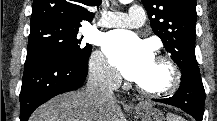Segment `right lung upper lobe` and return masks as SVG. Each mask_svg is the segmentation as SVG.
<instances>
[{
	"instance_id": "1",
	"label": "right lung upper lobe",
	"mask_w": 217,
	"mask_h": 121,
	"mask_svg": "<svg viewBox=\"0 0 217 121\" xmlns=\"http://www.w3.org/2000/svg\"><path fill=\"white\" fill-rule=\"evenodd\" d=\"M101 0H34L31 24L43 20H56L69 24L92 21L94 13L89 7L99 6Z\"/></svg>"
}]
</instances>
